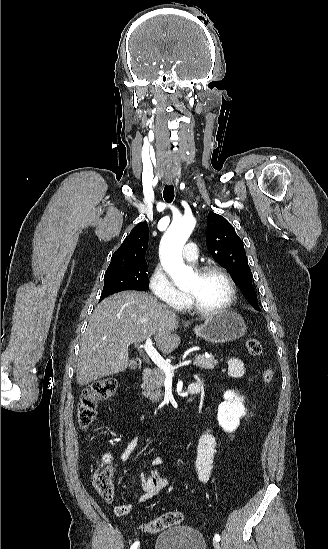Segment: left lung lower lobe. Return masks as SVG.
<instances>
[{"instance_id":"obj_1","label":"left lung lower lobe","mask_w":328,"mask_h":549,"mask_svg":"<svg viewBox=\"0 0 328 549\" xmlns=\"http://www.w3.org/2000/svg\"><path fill=\"white\" fill-rule=\"evenodd\" d=\"M256 310H260L259 306L255 308Z\"/></svg>"}]
</instances>
